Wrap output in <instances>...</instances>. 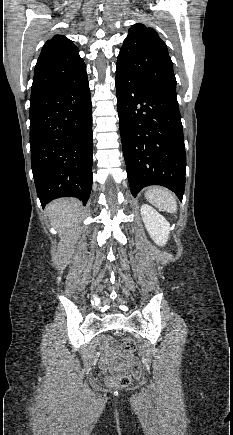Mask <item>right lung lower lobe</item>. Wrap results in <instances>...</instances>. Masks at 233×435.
<instances>
[{
  "label": "right lung lower lobe",
  "instance_id": "right-lung-lower-lobe-1",
  "mask_svg": "<svg viewBox=\"0 0 233 435\" xmlns=\"http://www.w3.org/2000/svg\"><path fill=\"white\" fill-rule=\"evenodd\" d=\"M31 165L44 207L59 197L85 205L92 188V106L87 73L30 102Z\"/></svg>",
  "mask_w": 233,
  "mask_h": 435
}]
</instances>
